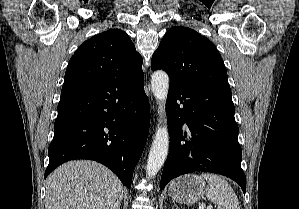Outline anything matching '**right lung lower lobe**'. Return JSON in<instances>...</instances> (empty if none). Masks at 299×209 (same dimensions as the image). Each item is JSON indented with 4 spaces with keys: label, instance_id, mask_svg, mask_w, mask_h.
Wrapping results in <instances>:
<instances>
[{
    "label": "right lung lower lobe",
    "instance_id": "obj_1",
    "mask_svg": "<svg viewBox=\"0 0 299 209\" xmlns=\"http://www.w3.org/2000/svg\"><path fill=\"white\" fill-rule=\"evenodd\" d=\"M149 125L144 79L63 85L45 178L64 162L90 159L107 166L130 189Z\"/></svg>",
    "mask_w": 299,
    "mask_h": 209
}]
</instances>
